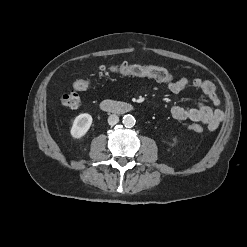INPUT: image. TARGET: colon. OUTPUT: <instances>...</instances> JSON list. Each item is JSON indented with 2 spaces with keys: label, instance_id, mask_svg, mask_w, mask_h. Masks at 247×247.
Segmentation results:
<instances>
[{
  "label": "colon",
  "instance_id": "1",
  "mask_svg": "<svg viewBox=\"0 0 247 247\" xmlns=\"http://www.w3.org/2000/svg\"><path fill=\"white\" fill-rule=\"evenodd\" d=\"M101 74H109L116 73L124 76H135V77H148L153 78L159 82H172L173 76L172 74L165 68L159 66H151V65H135L122 63L114 66H103L100 68ZM91 86V80L82 78L77 79L73 83L74 90L65 93L61 102L64 106L69 108H77L80 103V97L77 91L87 90ZM189 130L193 133H201L203 131V127L198 123H193L189 125Z\"/></svg>",
  "mask_w": 247,
  "mask_h": 247
}]
</instances>
